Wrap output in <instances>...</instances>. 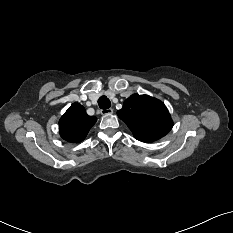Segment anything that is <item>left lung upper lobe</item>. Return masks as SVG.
Wrapping results in <instances>:
<instances>
[{"label": "left lung upper lobe", "instance_id": "left-lung-upper-lobe-1", "mask_svg": "<svg viewBox=\"0 0 233 233\" xmlns=\"http://www.w3.org/2000/svg\"><path fill=\"white\" fill-rule=\"evenodd\" d=\"M117 115L126 123L134 137L142 142L160 139L173 126L164 103L148 95L133 94L125 100Z\"/></svg>", "mask_w": 233, "mask_h": 233}]
</instances>
